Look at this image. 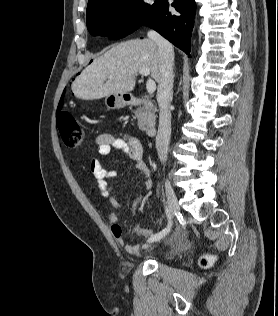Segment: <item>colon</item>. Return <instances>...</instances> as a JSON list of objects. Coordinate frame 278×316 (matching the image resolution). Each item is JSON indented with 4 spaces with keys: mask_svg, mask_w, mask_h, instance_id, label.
<instances>
[{
    "mask_svg": "<svg viewBox=\"0 0 278 316\" xmlns=\"http://www.w3.org/2000/svg\"><path fill=\"white\" fill-rule=\"evenodd\" d=\"M57 127L66 147L75 149L86 143L85 132L71 114L60 112L57 116ZM211 261L210 257L204 256L200 259V265L204 268L209 267Z\"/></svg>",
    "mask_w": 278,
    "mask_h": 316,
    "instance_id": "obj_1",
    "label": "colon"
}]
</instances>
